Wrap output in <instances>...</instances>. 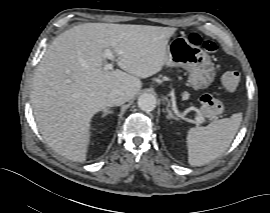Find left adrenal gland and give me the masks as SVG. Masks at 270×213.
Wrapping results in <instances>:
<instances>
[{
    "instance_id": "obj_1",
    "label": "left adrenal gland",
    "mask_w": 270,
    "mask_h": 213,
    "mask_svg": "<svg viewBox=\"0 0 270 213\" xmlns=\"http://www.w3.org/2000/svg\"><path fill=\"white\" fill-rule=\"evenodd\" d=\"M166 111H167V118L168 119H177L173 114H172V112L169 110V108L167 107V109H166Z\"/></svg>"
}]
</instances>
